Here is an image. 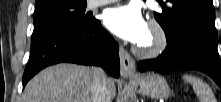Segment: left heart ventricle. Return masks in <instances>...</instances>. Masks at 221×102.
<instances>
[{"label": "left heart ventricle", "instance_id": "left-heart-ventricle-1", "mask_svg": "<svg viewBox=\"0 0 221 102\" xmlns=\"http://www.w3.org/2000/svg\"><path fill=\"white\" fill-rule=\"evenodd\" d=\"M150 41H151V35L148 31L146 36L144 37V39L142 40V42L140 44L146 45V44H149Z\"/></svg>", "mask_w": 221, "mask_h": 102}]
</instances>
